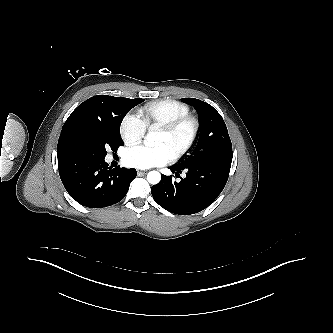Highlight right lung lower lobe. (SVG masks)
<instances>
[{
  "label": "right lung lower lobe",
  "mask_w": 333,
  "mask_h": 333,
  "mask_svg": "<svg viewBox=\"0 0 333 333\" xmlns=\"http://www.w3.org/2000/svg\"><path fill=\"white\" fill-rule=\"evenodd\" d=\"M62 183L70 196L83 206L102 208L121 201L136 177L135 169H111L103 157L81 152L58 156Z\"/></svg>",
  "instance_id": "98d812e1"
}]
</instances>
